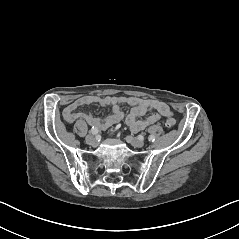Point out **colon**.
<instances>
[{"mask_svg": "<svg viewBox=\"0 0 239 239\" xmlns=\"http://www.w3.org/2000/svg\"><path fill=\"white\" fill-rule=\"evenodd\" d=\"M175 119L174 118H168L165 122H164V125L168 128H172L175 126Z\"/></svg>", "mask_w": 239, "mask_h": 239, "instance_id": "colon-1", "label": "colon"}]
</instances>
